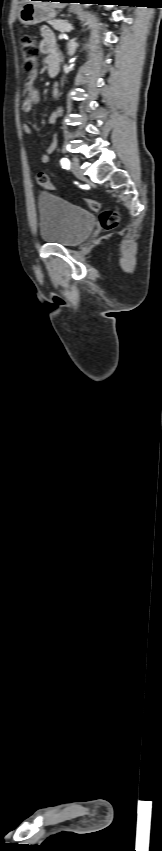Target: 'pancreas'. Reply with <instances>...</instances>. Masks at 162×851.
<instances>
[{
	"label": "pancreas",
	"mask_w": 162,
	"mask_h": 851,
	"mask_svg": "<svg viewBox=\"0 0 162 851\" xmlns=\"http://www.w3.org/2000/svg\"><path fill=\"white\" fill-rule=\"evenodd\" d=\"M49 24L52 25V27L55 30L60 31V32H66V31L72 30V25L69 24L67 21H64V20L49 21Z\"/></svg>",
	"instance_id": "1"
}]
</instances>
